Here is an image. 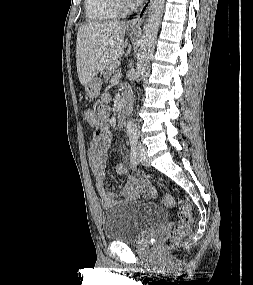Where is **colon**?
Listing matches in <instances>:
<instances>
[{
  "instance_id": "5ec220e1",
  "label": "colon",
  "mask_w": 253,
  "mask_h": 285,
  "mask_svg": "<svg viewBox=\"0 0 253 285\" xmlns=\"http://www.w3.org/2000/svg\"><path fill=\"white\" fill-rule=\"evenodd\" d=\"M85 118L87 123L92 127L98 126L101 123V119L98 113L93 110H87L85 112ZM177 201L180 203L179 224L165 237L163 245L166 248L176 245L183 238L187 237L190 234L192 228L193 213L189 202L183 199L176 200L175 197L171 194H166L161 199V203L166 207H173Z\"/></svg>"
}]
</instances>
